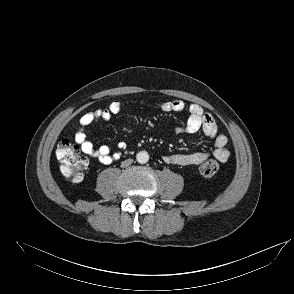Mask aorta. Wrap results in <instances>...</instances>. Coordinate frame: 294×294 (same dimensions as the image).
Segmentation results:
<instances>
[{
    "label": "aorta",
    "instance_id": "obj_1",
    "mask_svg": "<svg viewBox=\"0 0 294 294\" xmlns=\"http://www.w3.org/2000/svg\"><path fill=\"white\" fill-rule=\"evenodd\" d=\"M137 162L145 164L149 161V154L146 151H140L136 155Z\"/></svg>",
    "mask_w": 294,
    "mask_h": 294
}]
</instances>
